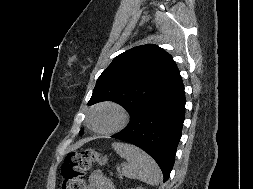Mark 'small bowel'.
<instances>
[{"instance_id":"1","label":"small bowel","mask_w":253,"mask_h":189,"mask_svg":"<svg viewBox=\"0 0 253 189\" xmlns=\"http://www.w3.org/2000/svg\"><path fill=\"white\" fill-rule=\"evenodd\" d=\"M87 189H115L112 181L100 170L93 171L89 176Z\"/></svg>"}]
</instances>
